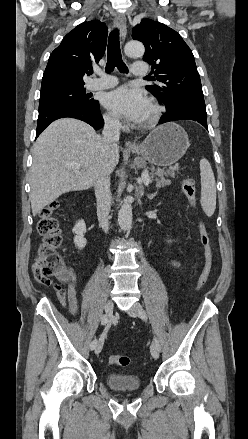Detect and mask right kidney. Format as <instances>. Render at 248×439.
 I'll use <instances>...</instances> for the list:
<instances>
[{
    "label": "right kidney",
    "instance_id": "ca27d5eb",
    "mask_svg": "<svg viewBox=\"0 0 248 439\" xmlns=\"http://www.w3.org/2000/svg\"><path fill=\"white\" fill-rule=\"evenodd\" d=\"M72 232L74 236V244L78 249H83L86 246L87 240L84 237L86 233V224L84 220L76 222Z\"/></svg>",
    "mask_w": 248,
    "mask_h": 439
}]
</instances>
